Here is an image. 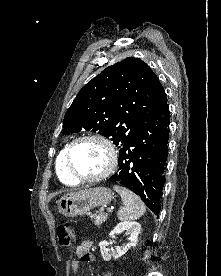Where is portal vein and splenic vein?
Wrapping results in <instances>:
<instances>
[{"label": "portal vein and splenic vein", "mask_w": 221, "mask_h": 276, "mask_svg": "<svg viewBox=\"0 0 221 276\" xmlns=\"http://www.w3.org/2000/svg\"><path fill=\"white\" fill-rule=\"evenodd\" d=\"M111 211H112V209H110V208L107 209V212H111Z\"/></svg>", "instance_id": "1"}]
</instances>
